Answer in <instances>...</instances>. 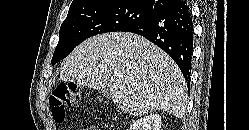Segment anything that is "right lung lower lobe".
Instances as JSON below:
<instances>
[{
    "instance_id": "right-lung-lower-lobe-1",
    "label": "right lung lower lobe",
    "mask_w": 249,
    "mask_h": 130,
    "mask_svg": "<svg viewBox=\"0 0 249 130\" xmlns=\"http://www.w3.org/2000/svg\"><path fill=\"white\" fill-rule=\"evenodd\" d=\"M123 31L139 34L169 54L189 84L194 32L186 1L177 0L151 18Z\"/></svg>"
}]
</instances>
